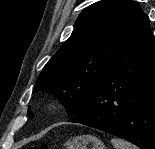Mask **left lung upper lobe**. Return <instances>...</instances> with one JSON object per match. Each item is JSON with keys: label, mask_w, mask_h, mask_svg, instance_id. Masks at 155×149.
<instances>
[{"label": "left lung upper lobe", "mask_w": 155, "mask_h": 149, "mask_svg": "<svg viewBox=\"0 0 155 149\" xmlns=\"http://www.w3.org/2000/svg\"><path fill=\"white\" fill-rule=\"evenodd\" d=\"M143 15L131 0H103L87 7L69 39L44 66L33 93H51L72 117L85 105ZM28 117H34L30 108Z\"/></svg>", "instance_id": "1"}]
</instances>
